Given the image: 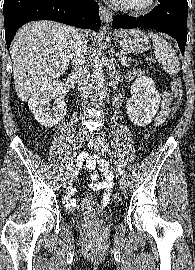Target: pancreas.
Wrapping results in <instances>:
<instances>
[{
	"label": "pancreas",
	"instance_id": "obj_1",
	"mask_svg": "<svg viewBox=\"0 0 195 270\" xmlns=\"http://www.w3.org/2000/svg\"><path fill=\"white\" fill-rule=\"evenodd\" d=\"M130 60L131 59L127 57L126 53H121V55L119 56V61L124 66H126L128 64V61Z\"/></svg>",
	"mask_w": 195,
	"mask_h": 270
}]
</instances>
